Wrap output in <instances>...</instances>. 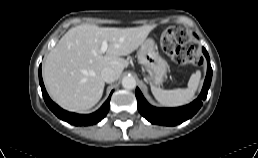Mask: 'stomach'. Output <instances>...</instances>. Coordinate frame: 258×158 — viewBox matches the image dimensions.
<instances>
[{"mask_svg":"<svg viewBox=\"0 0 258 158\" xmlns=\"http://www.w3.org/2000/svg\"><path fill=\"white\" fill-rule=\"evenodd\" d=\"M138 61L149 72L148 80L160 85L167 71L166 61L159 55L157 45L153 39H147L142 44L137 53Z\"/></svg>","mask_w":258,"mask_h":158,"instance_id":"obj_1","label":"stomach"}]
</instances>
